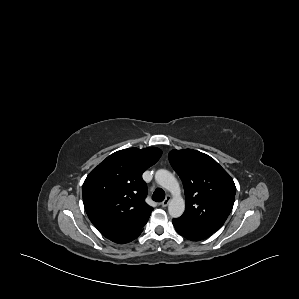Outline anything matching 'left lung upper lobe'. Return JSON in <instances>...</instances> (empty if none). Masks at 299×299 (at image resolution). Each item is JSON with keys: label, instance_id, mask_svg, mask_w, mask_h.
Wrapping results in <instances>:
<instances>
[{"label": "left lung upper lobe", "instance_id": "5c2ea615", "mask_svg": "<svg viewBox=\"0 0 299 299\" xmlns=\"http://www.w3.org/2000/svg\"><path fill=\"white\" fill-rule=\"evenodd\" d=\"M169 161L184 185L186 208L180 219L216 232L233 208V179L213 158L196 150H172Z\"/></svg>", "mask_w": 299, "mask_h": 299}]
</instances>
